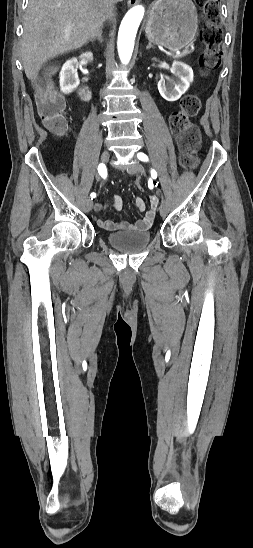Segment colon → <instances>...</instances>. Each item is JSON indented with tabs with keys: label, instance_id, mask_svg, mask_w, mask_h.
Segmentation results:
<instances>
[{
	"label": "colon",
	"instance_id": "colon-1",
	"mask_svg": "<svg viewBox=\"0 0 253 548\" xmlns=\"http://www.w3.org/2000/svg\"><path fill=\"white\" fill-rule=\"evenodd\" d=\"M205 19V27L201 39L205 50L200 56V66L207 72L217 68L221 62L220 44L222 31L220 28L218 0H197ZM35 100L40 118L44 124L55 131L65 128V103L59 95L53 81L48 76L38 77L33 83ZM202 106L201 98L196 93L185 95L180 107L170 117V128L176 136L181 151L180 162L186 169H193L198 164V151L201 135L191 118L196 116ZM140 176L134 177L136 188L140 193L146 192Z\"/></svg>",
	"mask_w": 253,
	"mask_h": 548
}]
</instances>
